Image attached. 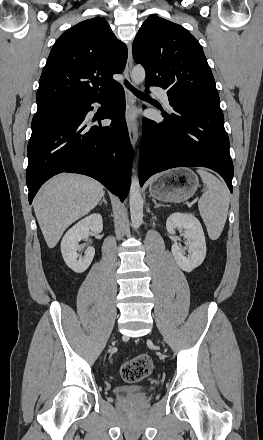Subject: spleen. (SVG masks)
<instances>
[{
	"mask_svg": "<svg viewBox=\"0 0 263 440\" xmlns=\"http://www.w3.org/2000/svg\"><path fill=\"white\" fill-rule=\"evenodd\" d=\"M203 183V194L199 199L198 208L207 228L209 238L216 240L222 233L226 223L230 194L227 186L213 174L198 169Z\"/></svg>",
	"mask_w": 263,
	"mask_h": 440,
	"instance_id": "obj_1",
	"label": "spleen"
}]
</instances>
